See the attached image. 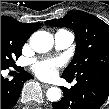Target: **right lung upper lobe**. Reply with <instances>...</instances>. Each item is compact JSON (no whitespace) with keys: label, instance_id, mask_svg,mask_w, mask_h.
I'll list each match as a JSON object with an SVG mask.
<instances>
[{"label":"right lung upper lobe","instance_id":"right-lung-upper-lobe-1","mask_svg":"<svg viewBox=\"0 0 109 109\" xmlns=\"http://www.w3.org/2000/svg\"><path fill=\"white\" fill-rule=\"evenodd\" d=\"M40 27V23L25 24L11 17L1 16V30L13 34L25 42L29 39L30 35Z\"/></svg>","mask_w":109,"mask_h":109}]
</instances>
